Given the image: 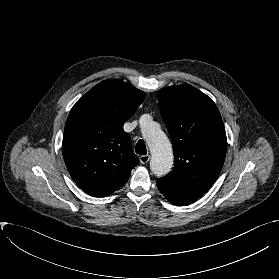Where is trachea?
Returning a JSON list of instances; mask_svg holds the SVG:
<instances>
[{"label":"trachea","mask_w":279,"mask_h":279,"mask_svg":"<svg viewBox=\"0 0 279 279\" xmlns=\"http://www.w3.org/2000/svg\"><path fill=\"white\" fill-rule=\"evenodd\" d=\"M135 152L140 155H145L147 153L146 146L143 140H139L137 142Z\"/></svg>","instance_id":"3493384b"}]
</instances>
